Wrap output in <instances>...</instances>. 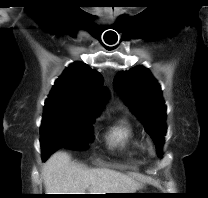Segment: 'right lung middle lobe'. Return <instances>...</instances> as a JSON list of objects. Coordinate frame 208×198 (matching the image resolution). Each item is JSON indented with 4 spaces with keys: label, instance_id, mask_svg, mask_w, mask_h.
<instances>
[{
    "label": "right lung middle lobe",
    "instance_id": "dd1d6c3e",
    "mask_svg": "<svg viewBox=\"0 0 208 198\" xmlns=\"http://www.w3.org/2000/svg\"><path fill=\"white\" fill-rule=\"evenodd\" d=\"M94 120L95 116L74 112L44 113L40 127L43 160L60 148L87 150L88 144L93 141Z\"/></svg>",
    "mask_w": 208,
    "mask_h": 198
}]
</instances>
